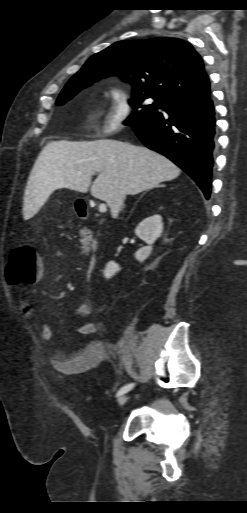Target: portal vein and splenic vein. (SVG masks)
Listing matches in <instances>:
<instances>
[{"label": "portal vein and splenic vein", "instance_id": "portal-vein-and-splenic-vein-1", "mask_svg": "<svg viewBox=\"0 0 247 513\" xmlns=\"http://www.w3.org/2000/svg\"><path fill=\"white\" fill-rule=\"evenodd\" d=\"M106 210H107V208L104 203L99 205V212L104 213V212H106Z\"/></svg>", "mask_w": 247, "mask_h": 513}]
</instances>
